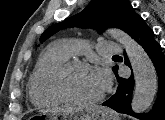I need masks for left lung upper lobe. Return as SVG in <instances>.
Returning <instances> with one entry per match:
<instances>
[{
    "label": "left lung upper lobe",
    "instance_id": "obj_1",
    "mask_svg": "<svg viewBox=\"0 0 165 120\" xmlns=\"http://www.w3.org/2000/svg\"><path fill=\"white\" fill-rule=\"evenodd\" d=\"M139 18L140 16L127 0H92L82 12L64 22L50 26L41 35L40 40L43 42L59 29L71 26L94 28L99 32L108 27H116L130 35ZM117 67V65L113 67L115 75Z\"/></svg>",
    "mask_w": 165,
    "mask_h": 120
}]
</instances>
